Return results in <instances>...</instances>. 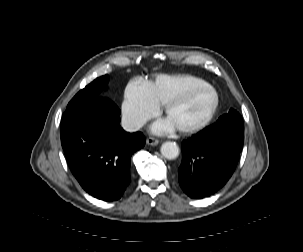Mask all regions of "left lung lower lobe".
Returning a JSON list of instances; mask_svg holds the SVG:
<instances>
[{
	"instance_id": "left-lung-lower-lobe-1",
	"label": "left lung lower lobe",
	"mask_w": 303,
	"mask_h": 252,
	"mask_svg": "<svg viewBox=\"0 0 303 252\" xmlns=\"http://www.w3.org/2000/svg\"><path fill=\"white\" fill-rule=\"evenodd\" d=\"M244 142V132L203 130L182 142L178 180L191 198H203L219 190L233 174Z\"/></svg>"
}]
</instances>
